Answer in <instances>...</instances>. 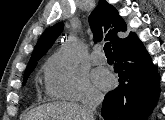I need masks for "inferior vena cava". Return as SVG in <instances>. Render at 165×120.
Here are the masks:
<instances>
[{"label":"inferior vena cava","mask_w":165,"mask_h":120,"mask_svg":"<svg viewBox=\"0 0 165 120\" xmlns=\"http://www.w3.org/2000/svg\"><path fill=\"white\" fill-rule=\"evenodd\" d=\"M103 95L91 91L88 93L86 99L83 101V120H94V113L96 112L97 106L102 102Z\"/></svg>","instance_id":"1"}]
</instances>
